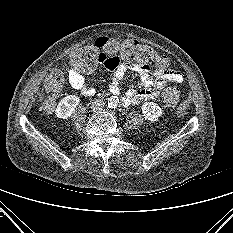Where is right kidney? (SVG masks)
<instances>
[{
	"label": "right kidney",
	"instance_id": "obj_1",
	"mask_svg": "<svg viewBox=\"0 0 233 233\" xmlns=\"http://www.w3.org/2000/svg\"><path fill=\"white\" fill-rule=\"evenodd\" d=\"M80 99L76 95H68L64 97L59 103L55 110V114L58 118H68L75 111L78 106Z\"/></svg>",
	"mask_w": 233,
	"mask_h": 233
}]
</instances>
